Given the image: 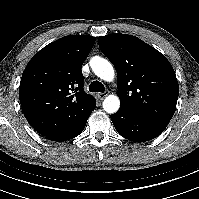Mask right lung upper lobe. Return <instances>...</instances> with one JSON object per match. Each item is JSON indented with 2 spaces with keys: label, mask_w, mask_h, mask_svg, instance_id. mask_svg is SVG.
I'll use <instances>...</instances> for the list:
<instances>
[{
  "label": "right lung upper lobe",
  "mask_w": 199,
  "mask_h": 199,
  "mask_svg": "<svg viewBox=\"0 0 199 199\" xmlns=\"http://www.w3.org/2000/svg\"><path fill=\"white\" fill-rule=\"evenodd\" d=\"M95 43L89 35L62 37L41 49L27 64L19 98L30 125L48 139L76 129L96 106L84 92L82 64Z\"/></svg>",
  "instance_id": "obj_1"
}]
</instances>
